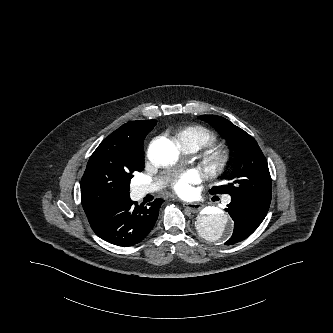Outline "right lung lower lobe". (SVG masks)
Listing matches in <instances>:
<instances>
[{"label": "right lung lower lobe", "instance_id": "obj_1", "mask_svg": "<svg viewBox=\"0 0 333 333\" xmlns=\"http://www.w3.org/2000/svg\"><path fill=\"white\" fill-rule=\"evenodd\" d=\"M162 202V199H156L144 206L128 197L90 215L88 220L100 238L111 244L128 247L142 241L152 230Z\"/></svg>", "mask_w": 333, "mask_h": 333}]
</instances>
